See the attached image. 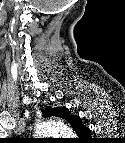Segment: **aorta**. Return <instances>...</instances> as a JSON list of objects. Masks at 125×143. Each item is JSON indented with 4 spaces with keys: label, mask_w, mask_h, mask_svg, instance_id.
Returning <instances> with one entry per match:
<instances>
[{
    "label": "aorta",
    "mask_w": 125,
    "mask_h": 143,
    "mask_svg": "<svg viewBox=\"0 0 125 143\" xmlns=\"http://www.w3.org/2000/svg\"><path fill=\"white\" fill-rule=\"evenodd\" d=\"M36 133L40 136H51L53 134H71V130L63 122H41L36 127Z\"/></svg>",
    "instance_id": "762f6f07"
}]
</instances>
